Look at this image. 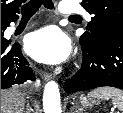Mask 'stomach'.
Here are the masks:
<instances>
[{"instance_id":"1","label":"stomach","mask_w":123,"mask_h":113,"mask_svg":"<svg viewBox=\"0 0 123 113\" xmlns=\"http://www.w3.org/2000/svg\"><path fill=\"white\" fill-rule=\"evenodd\" d=\"M79 101L83 107H92L94 104V100L85 96H81Z\"/></svg>"}]
</instances>
